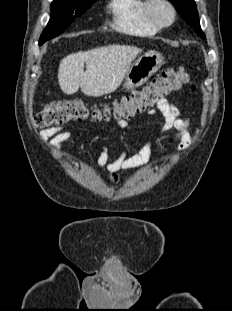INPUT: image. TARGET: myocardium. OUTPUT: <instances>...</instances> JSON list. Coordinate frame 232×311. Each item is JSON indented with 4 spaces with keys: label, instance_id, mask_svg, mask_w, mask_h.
Listing matches in <instances>:
<instances>
[{
    "label": "myocardium",
    "instance_id": "obj_1",
    "mask_svg": "<svg viewBox=\"0 0 232 311\" xmlns=\"http://www.w3.org/2000/svg\"><path fill=\"white\" fill-rule=\"evenodd\" d=\"M157 4H164L169 9L171 17L168 22H160L154 17L153 8ZM144 14L148 22L158 29L170 27L176 19V9L169 0H146Z\"/></svg>",
    "mask_w": 232,
    "mask_h": 311
}]
</instances>
